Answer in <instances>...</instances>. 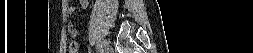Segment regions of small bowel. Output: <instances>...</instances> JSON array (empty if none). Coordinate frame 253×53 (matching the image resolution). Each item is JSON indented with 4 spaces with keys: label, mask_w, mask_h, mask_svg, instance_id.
<instances>
[{
    "label": "small bowel",
    "mask_w": 253,
    "mask_h": 53,
    "mask_svg": "<svg viewBox=\"0 0 253 53\" xmlns=\"http://www.w3.org/2000/svg\"><path fill=\"white\" fill-rule=\"evenodd\" d=\"M68 33L71 37H76L77 36V30L72 24L68 25Z\"/></svg>",
    "instance_id": "obj_1"
}]
</instances>
